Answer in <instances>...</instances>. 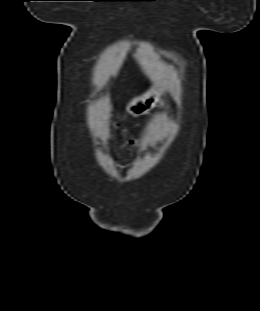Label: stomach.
Here are the masks:
<instances>
[{"label": "stomach", "instance_id": "obj_1", "mask_svg": "<svg viewBox=\"0 0 260 311\" xmlns=\"http://www.w3.org/2000/svg\"><path fill=\"white\" fill-rule=\"evenodd\" d=\"M161 101V91L151 87L139 97L133 98L127 105V111L133 116L147 113Z\"/></svg>", "mask_w": 260, "mask_h": 311}]
</instances>
